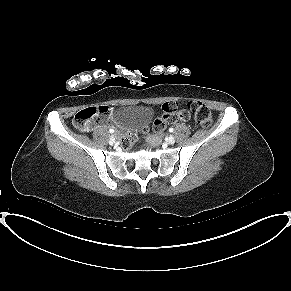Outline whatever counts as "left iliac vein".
<instances>
[{
	"label": "left iliac vein",
	"instance_id": "left-iliac-vein-1",
	"mask_svg": "<svg viewBox=\"0 0 291 291\" xmlns=\"http://www.w3.org/2000/svg\"><path fill=\"white\" fill-rule=\"evenodd\" d=\"M168 144L172 145L175 143V138L174 136L170 135L167 139Z\"/></svg>",
	"mask_w": 291,
	"mask_h": 291
}]
</instances>
